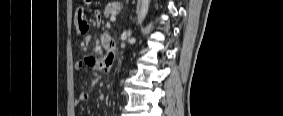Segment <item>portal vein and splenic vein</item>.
Here are the masks:
<instances>
[{"instance_id":"18ae733b","label":"portal vein and splenic vein","mask_w":283,"mask_h":116,"mask_svg":"<svg viewBox=\"0 0 283 116\" xmlns=\"http://www.w3.org/2000/svg\"><path fill=\"white\" fill-rule=\"evenodd\" d=\"M110 21H111V22H115V21H116V17H115L114 14L110 17Z\"/></svg>"}]
</instances>
